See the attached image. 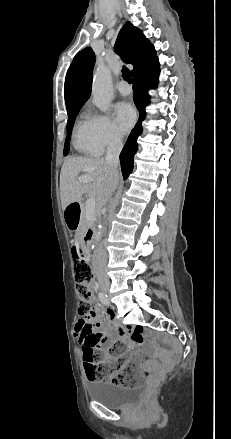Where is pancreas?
Wrapping results in <instances>:
<instances>
[{
	"instance_id": "pancreas-1",
	"label": "pancreas",
	"mask_w": 231,
	"mask_h": 439,
	"mask_svg": "<svg viewBox=\"0 0 231 439\" xmlns=\"http://www.w3.org/2000/svg\"><path fill=\"white\" fill-rule=\"evenodd\" d=\"M96 220V214L89 216L87 214L86 206L82 204V219H81V229L86 228Z\"/></svg>"
}]
</instances>
